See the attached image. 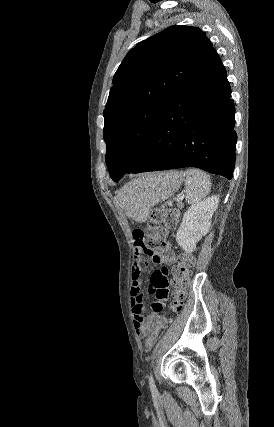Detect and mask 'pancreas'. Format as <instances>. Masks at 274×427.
<instances>
[{"label": "pancreas", "mask_w": 274, "mask_h": 427, "mask_svg": "<svg viewBox=\"0 0 274 427\" xmlns=\"http://www.w3.org/2000/svg\"><path fill=\"white\" fill-rule=\"evenodd\" d=\"M178 208H183V204H178Z\"/></svg>", "instance_id": "1"}]
</instances>
